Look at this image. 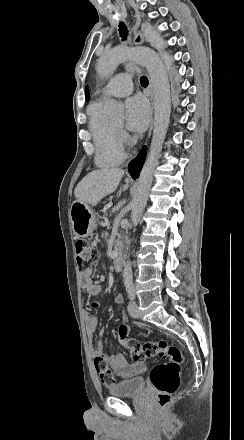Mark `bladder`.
I'll return each mask as SVG.
<instances>
[{
	"instance_id": "bladder-1",
	"label": "bladder",
	"mask_w": 244,
	"mask_h": 440,
	"mask_svg": "<svg viewBox=\"0 0 244 440\" xmlns=\"http://www.w3.org/2000/svg\"><path fill=\"white\" fill-rule=\"evenodd\" d=\"M145 389L144 377L128 378L116 384L109 389L112 395H139Z\"/></svg>"
}]
</instances>
